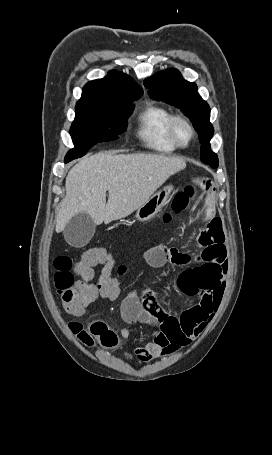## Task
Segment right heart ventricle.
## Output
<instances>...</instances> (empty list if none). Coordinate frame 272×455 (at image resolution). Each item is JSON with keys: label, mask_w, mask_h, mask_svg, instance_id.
I'll return each instance as SVG.
<instances>
[{"label": "right heart ventricle", "mask_w": 272, "mask_h": 455, "mask_svg": "<svg viewBox=\"0 0 272 455\" xmlns=\"http://www.w3.org/2000/svg\"><path fill=\"white\" fill-rule=\"evenodd\" d=\"M172 112L158 104L148 102L136 117V136L141 144L156 153L170 154L177 150L168 135V122Z\"/></svg>", "instance_id": "obj_1"}]
</instances>
